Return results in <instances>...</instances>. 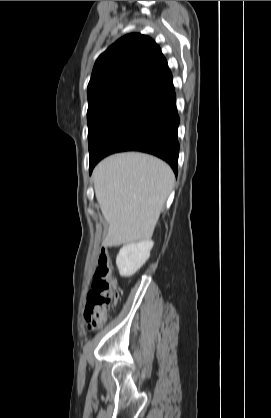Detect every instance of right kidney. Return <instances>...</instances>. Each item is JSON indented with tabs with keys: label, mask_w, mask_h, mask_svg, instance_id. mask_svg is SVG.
Listing matches in <instances>:
<instances>
[{
	"label": "right kidney",
	"mask_w": 271,
	"mask_h": 418,
	"mask_svg": "<svg viewBox=\"0 0 271 418\" xmlns=\"http://www.w3.org/2000/svg\"><path fill=\"white\" fill-rule=\"evenodd\" d=\"M152 240L130 243L123 246L116 258V265L122 277L135 274L150 257Z\"/></svg>",
	"instance_id": "1"
}]
</instances>
